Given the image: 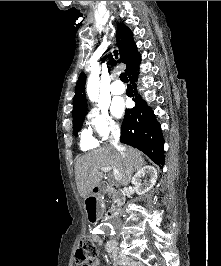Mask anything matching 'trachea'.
<instances>
[{"label":"trachea","mask_w":221,"mask_h":266,"mask_svg":"<svg viewBox=\"0 0 221 266\" xmlns=\"http://www.w3.org/2000/svg\"><path fill=\"white\" fill-rule=\"evenodd\" d=\"M114 53H115V56L118 55V53H117L116 50L114 51ZM120 79H121V81H123L124 83H128V82H129L126 73H121V74H120Z\"/></svg>","instance_id":"trachea-1"}]
</instances>
